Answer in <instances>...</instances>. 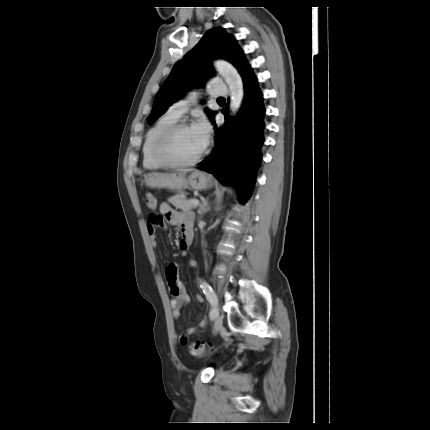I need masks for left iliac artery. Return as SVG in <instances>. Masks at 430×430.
Segmentation results:
<instances>
[{
	"mask_svg": "<svg viewBox=\"0 0 430 430\" xmlns=\"http://www.w3.org/2000/svg\"><path fill=\"white\" fill-rule=\"evenodd\" d=\"M200 287L203 290V293L205 294L207 300L210 302L211 304V310L209 313V317L210 319H214V317L216 316V307L218 306V298L215 294V292L213 291V289L210 287V285L202 280L200 282Z\"/></svg>",
	"mask_w": 430,
	"mask_h": 430,
	"instance_id": "44dca946",
	"label": "left iliac artery"
}]
</instances>
